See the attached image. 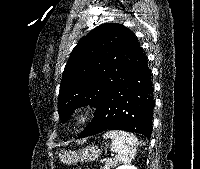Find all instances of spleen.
I'll use <instances>...</instances> for the list:
<instances>
[{
  "instance_id": "obj_1",
  "label": "spleen",
  "mask_w": 200,
  "mask_h": 169,
  "mask_svg": "<svg viewBox=\"0 0 200 169\" xmlns=\"http://www.w3.org/2000/svg\"><path fill=\"white\" fill-rule=\"evenodd\" d=\"M105 139H111V151L117 153L119 162L130 163L137 151L139 141L137 137L122 130H111L103 135Z\"/></svg>"
}]
</instances>
